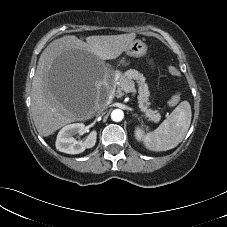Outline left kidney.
<instances>
[{
	"label": "left kidney",
	"instance_id": "5707ae66",
	"mask_svg": "<svg viewBox=\"0 0 227 227\" xmlns=\"http://www.w3.org/2000/svg\"><path fill=\"white\" fill-rule=\"evenodd\" d=\"M143 134H144V130L142 128H140V127H136V129H135V138L138 141L142 140Z\"/></svg>",
	"mask_w": 227,
	"mask_h": 227
}]
</instances>
